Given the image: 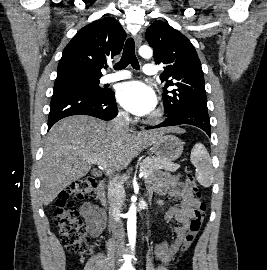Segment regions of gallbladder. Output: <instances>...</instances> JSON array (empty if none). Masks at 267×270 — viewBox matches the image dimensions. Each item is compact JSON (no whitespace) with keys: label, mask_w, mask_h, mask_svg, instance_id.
<instances>
[{"label":"gallbladder","mask_w":267,"mask_h":270,"mask_svg":"<svg viewBox=\"0 0 267 270\" xmlns=\"http://www.w3.org/2000/svg\"><path fill=\"white\" fill-rule=\"evenodd\" d=\"M92 174L93 176H101V172L99 171H93Z\"/></svg>","instance_id":"1"}]
</instances>
